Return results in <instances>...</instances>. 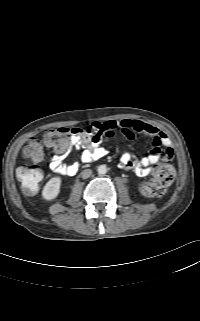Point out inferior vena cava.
Listing matches in <instances>:
<instances>
[{
  "label": "inferior vena cava",
  "instance_id": "obj_1",
  "mask_svg": "<svg viewBox=\"0 0 200 321\" xmlns=\"http://www.w3.org/2000/svg\"><path fill=\"white\" fill-rule=\"evenodd\" d=\"M91 174H92V170H90V169H85V170H83V171L81 172V177H82L83 179H87V178H89V177L91 176Z\"/></svg>",
  "mask_w": 200,
  "mask_h": 321
}]
</instances>
